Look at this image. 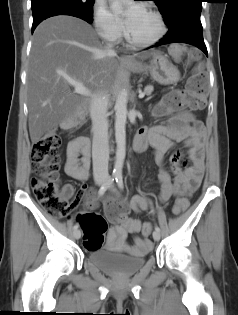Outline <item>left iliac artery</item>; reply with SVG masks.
Here are the masks:
<instances>
[{"mask_svg":"<svg viewBox=\"0 0 238 315\" xmlns=\"http://www.w3.org/2000/svg\"><path fill=\"white\" fill-rule=\"evenodd\" d=\"M116 183L120 189L124 188L122 173H117ZM155 230L160 232V228L157 225L155 226Z\"/></svg>","mask_w":238,"mask_h":315,"instance_id":"1","label":"left iliac artery"}]
</instances>
